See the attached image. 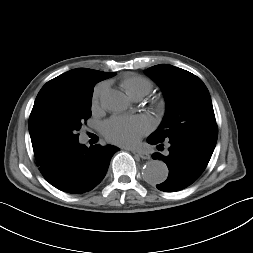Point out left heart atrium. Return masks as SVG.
<instances>
[{"label": "left heart atrium", "mask_w": 253, "mask_h": 253, "mask_svg": "<svg viewBox=\"0 0 253 253\" xmlns=\"http://www.w3.org/2000/svg\"><path fill=\"white\" fill-rule=\"evenodd\" d=\"M151 128L150 120L144 116L113 117L103 124V134L110 142L131 146Z\"/></svg>", "instance_id": "left-heart-atrium-1"}]
</instances>
